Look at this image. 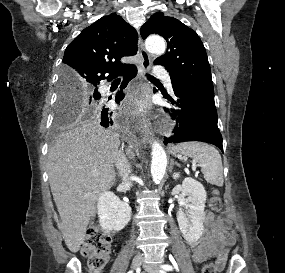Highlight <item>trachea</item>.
I'll return each instance as SVG.
<instances>
[{
  "label": "trachea",
  "mask_w": 285,
  "mask_h": 273,
  "mask_svg": "<svg viewBox=\"0 0 285 273\" xmlns=\"http://www.w3.org/2000/svg\"><path fill=\"white\" fill-rule=\"evenodd\" d=\"M147 78H148L149 80H156L154 77H152V76H150V75H147Z\"/></svg>",
  "instance_id": "1"
}]
</instances>
